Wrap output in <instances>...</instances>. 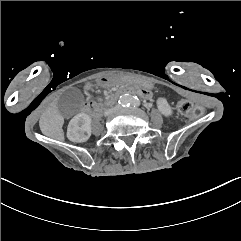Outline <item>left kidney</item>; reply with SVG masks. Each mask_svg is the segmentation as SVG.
I'll use <instances>...</instances> for the list:
<instances>
[{"label":"left kidney","mask_w":241,"mask_h":241,"mask_svg":"<svg viewBox=\"0 0 241 241\" xmlns=\"http://www.w3.org/2000/svg\"><path fill=\"white\" fill-rule=\"evenodd\" d=\"M156 107L158 111L166 118H172L175 115L174 109L171 107L169 102L165 97H157L156 98Z\"/></svg>","instance_id":"obj_1"}]
</instances>
